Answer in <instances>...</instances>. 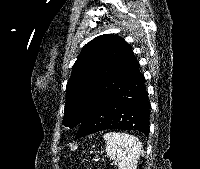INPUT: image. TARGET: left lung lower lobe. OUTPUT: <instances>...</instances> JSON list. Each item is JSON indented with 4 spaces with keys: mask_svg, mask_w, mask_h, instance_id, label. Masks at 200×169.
Here are the masks:
<instances>
[{
    "mask_svg": "<svg viewBox=\"0 0 200 169\" xmlns=\"http://www.w3.org/2000/svg\"><path fill=\"white\" fill-rule=\"evenodd\" d=\"M149 114L150 102L144 76L138 68L92 107L81 122L75 140L106 129L137 130L148 135Z\"/></svg>",
    "mask_w": 200,
    "mask_h": 169,
    "instance_id": "1",
    "label": "left lung lower lobe"
}]
</instances>
